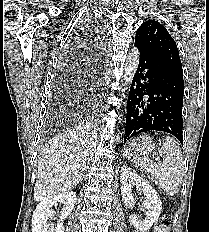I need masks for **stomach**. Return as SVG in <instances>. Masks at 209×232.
<instances>
[{
    "label": "stomach",
    "mask_w": 209,
    "mask_h": 232,
    "mask_svg": "<svg viewBox=\"0 0 209 232\" xmlns=\"http://www.w3.org/2000/svg\"><path fill=\"white\" fill-rule=\"evenodd\" d=\"M154 148L155 144L152 139L146 135H141L129 141L124 152L127 156H141L152 152Z\"/></svg>",
    "instance_id": "1"
}]
</instances>
